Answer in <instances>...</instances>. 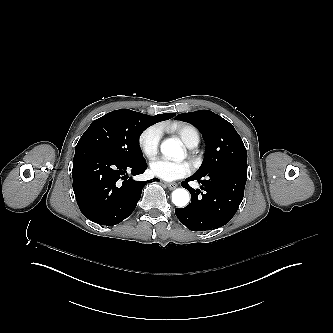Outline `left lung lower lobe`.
<instances>
[{"label": "left lung lower lobe", "instance_id": "left-lung-lower-lobe-1", "mask_svg": "<svg viewBox=\"0 0 333 333\" xmlns=\"http://www.w3.org/2000/svg\"><path fill=\"white\" fill-rule=\"evenodd\" d=\"M193 180L202 183L204 193L189 186L188 181ZM246 180L247 167L242 166L223 168L207 178L192 175L181 183L191 193V203L185 208L175 209L177 218L192 231L224 226L233 218L242 202Z\"/></svg>", "mask_w": 333, "mask_h": 333}]
</instances>
